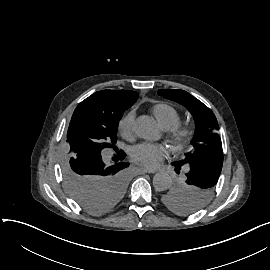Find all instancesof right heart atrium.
Masks as SVG:
<instances>
[{
    "label": "right heart atrium",
    "instance_id": "right-heart-atrium-1",
    "mask_svg": "<svg viewBox=\"0 0 270 270\" xmlns=\"http://www.w3.org/2000/svg\"><path fill=\"white\" fill-rule=\"evenodd\" d=\"M135 113L133 111L128 112L118 122V130L122 137L128 141H134L135 139Z\"/></svg>",
    "mask_w": 270,
    "mask_h": 270
}]
</instances>
